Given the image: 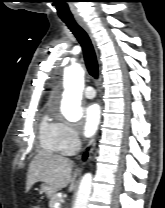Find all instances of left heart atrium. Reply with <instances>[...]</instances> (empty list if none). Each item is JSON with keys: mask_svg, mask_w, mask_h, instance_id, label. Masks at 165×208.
Instances as JSON below:
<instances>
[{"mask_svg": "<svg viewBox=\"0 0 165 208\" xmlns=\"http://www.w3.org/2000/svg\"><path fill=\"white\" fill-rule=\"evenodd\" d=\"M101 118V111L98 104H89L84 109L83 134L87 137H91L96 132Z\"/></svg>", "mask_w": 165, "mask_h": 208, "instance_id": "left-heart-atrium-1", "label": "left heart atrium"}]
</instances>
